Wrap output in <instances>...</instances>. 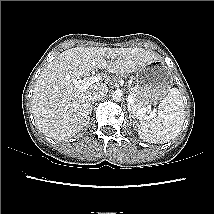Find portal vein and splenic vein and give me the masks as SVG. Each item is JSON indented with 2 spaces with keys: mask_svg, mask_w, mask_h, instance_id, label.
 Returning a JSON list of instances; mask_svg holds the SVG:
<instances>
[{
  "mask_svg": "<svg viewBox=\"0 0 214 214\" xmlns=\"http://www.w3.org/2000/svg\"><path fill=\"white\" fill-rule=\"evenodd\" d=\"M102 80L100 75H94V76H90L87 79H75L73 80L75 86L81 90H85L88 86L94 84L95 82H98ZM127 102L129 105L133 104L134 102V98L131 94H128V98H127ZM148 110H151L150 108H141L140 110H138V112L136 113L137 116H143L144 114H146V112ZM152 115L154 114V112L151 113Z\"/></svg>",
  "mask_w": 214,
  "mask_h": 214,
  "instance_id": "18ae733b",
  "label": "portal vein and splenic vein"
}]
</instances>
